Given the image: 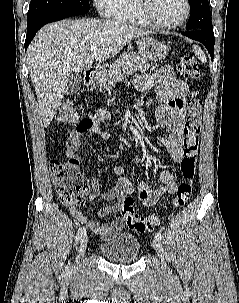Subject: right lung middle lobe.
Listing matches in <instances>:
<instances>
[{
	"label": "right lung middle lobe",
	"instance_id": "dd1d6c3e",
	"mask_svg": "<svg viewBox=\"0 0 239 303\" xmlns=\"http://www.w3.org/2000/svg\"><path fill=\"white\" fill-rule=\"evenodd\" d=\"M89 10L88 0H31L27 20L50 11Z\"/></svg>",
	"mask_w": 239,
	"mask_h": 303
}]
</instances>
